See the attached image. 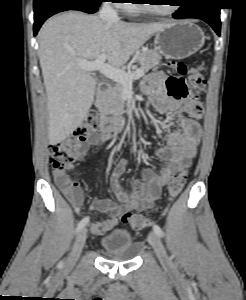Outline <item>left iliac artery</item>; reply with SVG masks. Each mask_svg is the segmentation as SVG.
<instances>
[{"instance_id": "1", "label": "left iliac artery", "mask_w": 246, "mask_h": 300, "mask_svg": "<svg viewBox=\"0 0 246 300\" xmlns=\"http://www.w3.org/2000/svg\"><path fill=\"white\" fill-rule=\"evenodd\" d=\"M153 230L154 232L159 236V237H163L164 236V233L162 231V229L158 226V225H154L153 226Z\"/></svg>"}]
</instances>
